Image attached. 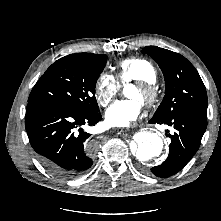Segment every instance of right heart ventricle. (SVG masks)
I'll use <instances>...</instances> for the list:
<instances>
[{
    "mask_svg": "<svg viewBox=\"0 0 221 221\" xmlns=\"http://www.w3.org/2000/svg\"><path fill=\"white\" fill-rule=\"evenodd\" d=\"M121 83L129 81H147L155 83L157 73L152 63L143 57H132L121 61L114 76Z\"/></svg>",
    "mask_w": 221,
    "mask_h": 221,
    "instance_id": "e07e8e85",
    "label": "right heart ventricle"
}]
</instances>
